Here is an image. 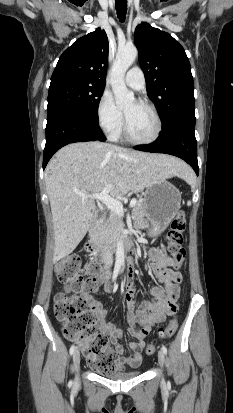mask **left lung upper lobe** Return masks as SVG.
<instances>
[{
	"label": "left lung upper lobe",
	"instance_id": "left-lung-upper-lobe-1",
	"mask_svg": "<svg viewBox=\"0 0 233 413\" xmlns=\"http://www.w3.org/2000/svg\"><path fill=\"white\" fill-rule=\"evenodd\" d=\"M134 38L146 87L163 127L177 118L195 120L194 83L183 47L170 34L146 22L136 27Z\"/></svg>",
	"mask_w": 233,
	"mask_h": 413
}]
</instances>
